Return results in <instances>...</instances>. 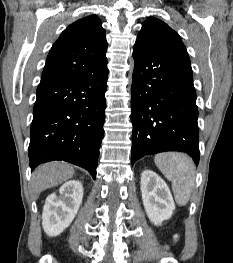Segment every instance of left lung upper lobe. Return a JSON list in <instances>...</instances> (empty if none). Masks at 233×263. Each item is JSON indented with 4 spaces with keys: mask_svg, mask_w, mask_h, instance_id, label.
Listing matches in <instances>:
<instances>
[{
    "mask_svg": "<svg viewBox=\"0 0 233 263\" xmlns=\"http://www.w3.org/2000/svg\"><path fill=\"white\" fill-rule=\"evenodd\" d=\"M135 44L157 51L188 55L180 36L167 24L153 17L143 23Z\"/></svg>",
    "mask_w": 233,
    "mask_h": 263,
    "instance_id": "left-lung-upper-lobe-1",
    "label": "left lung upper lobe"
}]
</instances>
